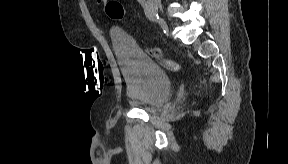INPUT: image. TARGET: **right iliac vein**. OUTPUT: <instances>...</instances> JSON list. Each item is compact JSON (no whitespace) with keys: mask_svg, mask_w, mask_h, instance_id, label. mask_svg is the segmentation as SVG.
Returning <instances> with one entry per match:
<instances>
[{"mask_svg":"<svg viewBox=\"0 0 288 164\" xmlns=\"http://www.w3.org/2000/svg\"><path fill=\"white\" fill-rule=\"evenodd\" d=\"M161 25L164 28L165 32H168V26L166 24V22L164 21V19H160Z\"/></svg>","mask_w":288,"mask_h":164,"instance_id":"right-iliac-vein-1","label":"right iliac vein"}]
</instances>
